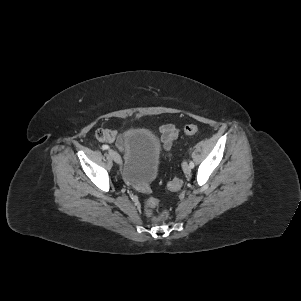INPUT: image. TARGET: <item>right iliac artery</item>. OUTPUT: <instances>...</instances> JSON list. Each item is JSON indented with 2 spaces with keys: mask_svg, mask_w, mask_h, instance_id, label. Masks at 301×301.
<instances>
[{
  "mask_svg": "<svg viewBox=\"0 0 301 301\" xmlns=\"http://www.w3.org/2000/svg\"><path fill=\"white\" fill-rule=\"evenodd\" d=\"M102 149H103V150H107V149H109V146H108V145H103V146H102Z\"/></svg>",
  "mask_w": 301,
  "mask_h": 301,
  "instance_id": "right-iliac-artery-1",
  "label": "right iliac artery"
}]
</instances>
